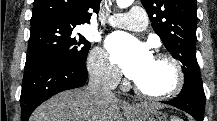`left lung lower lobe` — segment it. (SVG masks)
Listing matches in <instances>:
<instances>
[{
	"label": "left lung lower lobe",
	"instance_id": "obj_1",
	"mask_svg": "<svg viewBox=\"0 0 217 121\" xmlns=\"http://www.w3.org/2000/svg\"><path fill=\"white\" fill-rule=\"evenodd\" d=\"M192 115L196 121H203L205 110V94L203 84L185 80L180 94L173 100L163 101Z\"/></svg>",
	"mask_w": 217,
	"mask_h": 121
}]
</instances>
